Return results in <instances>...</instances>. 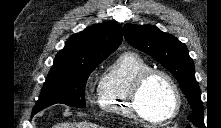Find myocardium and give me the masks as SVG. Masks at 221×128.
<instances>
[{
  "mask_svg": "<svg viewBox=\"0 0 221 128\" xmlns=\"http://www.w3.org/2000/svg\"><path fill=\"white\" fill-rule=\"evenodd\" d=\"M154 76L163 77L172 93V107L167 114L161 118H152L146 115L138 105L139 93L145 83ZM129 109L134 117L151 124H164L175 118L181 108V96L175 80L165 71L160 69H149L140 74L134 81L128 96Z\"/></svg>",
  "mask_w": 221,
  "mask_h": 128,
  "instance_id": "f54148a6",
  "label": "myocardium"
}]
</instances>
